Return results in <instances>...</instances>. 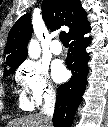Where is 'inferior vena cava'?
I'll use <instances>...</instances> for the list:
<instances>
[{"mask_svg":"<svg viewBox=\"0 0 108 127\" xmlns=\"http://www.w3.org/2000/svg\"><path fill=\"white\" fill-rule=\"evenodd\" d=\"M44 99L45 102L40 113L44 116L45 127H52V117L56 103V94L54 90H48Z\"/></svg>","mask_w":108,"mask_h":127,"instance_id":"602c4592","label":"inferior vena cava"}]
</instances>
